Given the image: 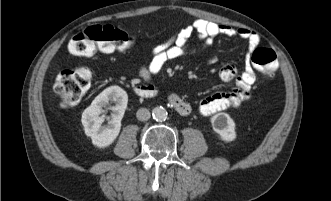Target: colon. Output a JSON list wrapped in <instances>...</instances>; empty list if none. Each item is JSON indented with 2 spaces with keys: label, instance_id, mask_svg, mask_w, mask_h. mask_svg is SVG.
I'll use <instances>...</instances> for the list:
<instances>
[{
  "label": "colon",
  "instance_id": "colon-1",
  "mask_svg": "<svg viewBox=\"0 0 331 201\" xmlns=\"http://www.w3.org/2000/svg\"><path fill=\"white\" fill-rule=\"evenodd\" d=\"M134 44V38L125 31L111 25H94L72 37L69 52L77 56H90L97 52L124 51ZM254 64L271 75L276 67L275 52L269 48L254 50L251 57ZM92 75L86 68L63 70L56 79L55 94L63 107L76 105L91 86Z\"/></svg>",
  "mask_w": 331,
  "mask_h": 201
}]
</instances>
